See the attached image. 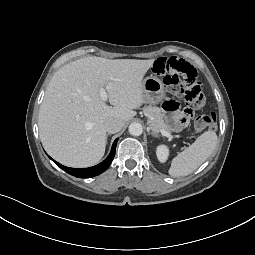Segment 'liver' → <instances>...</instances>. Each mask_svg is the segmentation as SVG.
Masks as SVG:
<instances>
[{"mask_svg": "<svg viewBox=\"0 0 255 255\" xmlns=\"http://www.w3.org/2000/svg\"><path fill=\"white\" fill-rule=\"evenodd\" d=\"M155 59L86 57L52 77L39 112V134L46 152L69 167L97 164L105 153V121L124 123L144 103L143 78ZM104 88L108 106L99 90Z\"/></svg>", "mask_w": 255, "mask_h": 255, "instance_id": "6515ba94", "label": "liver"}]
</instances>
